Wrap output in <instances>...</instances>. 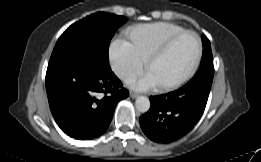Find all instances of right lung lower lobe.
Listing matches in <instances>:
<instances>
[{"instance_id": "right-lung-lower-lobe-1", "label": "right lung lower lobe", "mask_w": 261, "mask_h": 162, "mask_svg": "<svg viewBox=\"0 0 261 162\" xmlns=\"http://www.w3.org/2000/svg\"><path fill=\"white\" fill-rule=\"evenodd\" d=\"M121 86L109 61L92 53L60 56L48 64L50 110L58 126L75 139H93L107 130L116 104L129 95Z\"/></svg>"}]
</instances>
